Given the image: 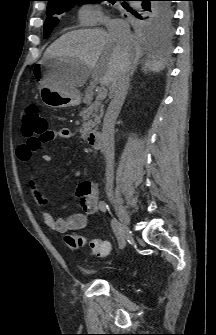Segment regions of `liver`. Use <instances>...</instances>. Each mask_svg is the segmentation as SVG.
I'll return each mask as SVG.
<instances>
[{"instance_id": "obj_1", "label": "liver", "mask_w": 216, "mask_h": 335, "mask_svg": "<svg viewBox=\"0 0 216 335\" xmlns=\"http://www.w3.org/2000/svg\"><path fill=\"white\" fill-rule=\"evenodd\" d=\"M141 55L140 45L132 38L120 45L103 29H82L59 37L46 49L43 60L64 58L76 62L65 76L69 88L83 86L91 74L94 83L105 85L112 92L123 57L138 63ZM164 68V63L157 60L144 64V71L159 72Z\"/></svg>"}]
</instances>
